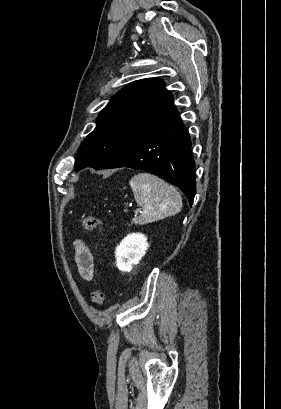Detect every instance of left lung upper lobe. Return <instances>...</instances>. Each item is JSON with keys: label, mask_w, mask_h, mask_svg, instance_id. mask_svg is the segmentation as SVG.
<instances>
[{"label": "left lung upper lobe", "mask_w": 281, "mask_h": 409, "mask_svg": "<svg viewBox=\"0 0 281 409\" xmlns=\"http://www.w3.org/2000/svg\"><path fill=\"white\" fill-rule=\"evenodd\" d=\"M164 86L160 79H141L113 96L80 146L75 169L89 166L99 170L177 114L173 95Z\"/></svg>", "instance_id": "1"}]
</instances>
